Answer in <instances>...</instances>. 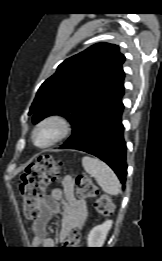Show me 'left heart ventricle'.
<instances>
[{
  "label": "left heart ventricle",
  "mask_w": 162,
  "mask_h": 261,
  "mask_svg": "<svg viewBox=\"0 0 162 261\" xmlns=\"http://www.w3.org/2000/svg\"><path fill=\"white\" fill-rule=\"evenodd\" d=\"M53 130L52 128H45L38 132L36 136V141L38 144L45 143L52 135Z\"/></svg>",
  "instance_id": "b2bd125f"
}]
</instances>
